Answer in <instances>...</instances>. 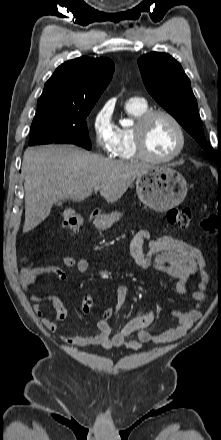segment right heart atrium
<instances>
[{
    "label": "right heart atrium",
    "mask_w": 221,
    "mask_h": 440,
    "mask_svg": "<svg viewBox=\"0 0 221 440\" xmlns=\"http://www.w3.org/2000/svg\"><path fill=\"white\" fill-rule=\"evenodd\" d=\"M93 138L96 146L107 154H112L117 141V126L112 120L108 105L99 108L92 119Z\"/></svg>",
    "instance_id": "d8ad5b80"
}]
</instances>
